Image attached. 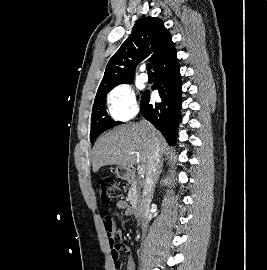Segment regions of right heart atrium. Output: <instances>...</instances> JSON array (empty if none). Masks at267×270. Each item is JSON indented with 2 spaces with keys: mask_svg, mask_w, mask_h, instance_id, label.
<instances>
[{
  "mask_svg": "<svg viewBox=\"0 0 267 270\" xmlns=\"http://www.w3.org/2000/svg\"><path fill=\"white\" fill-rule=\"evenodd\" d=\"M106 104L111 117L116 121H126L138 112L135 94L127 84L113 87L106 97Z\"/></svg>",
  "mask_w": 267,
  "mask_h": 270,
  "instance_id": "obj_1",
  "label": "right heart atrium"
}]
</instances>
